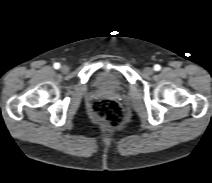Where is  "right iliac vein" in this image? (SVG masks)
<instances>
[{"mask_svg": "<svg viewBox=\"0 0 212 183\" xmlns=\"http://www.w3.org/2000/svg\"><path fill=\"white\" fill-rule=\"evenodd\" d=\"M60 69H61V72L63 73L69 72V67L67 65H62Z\"/></svg>", "mask_w": 212, "mask_h": 183, "instance_id": "1", "label": "right iliac vein"}]
</instances>
